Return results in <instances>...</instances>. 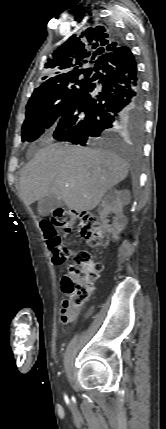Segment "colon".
I'll return each instance as SVG.
<instances>
[{"mask_svg": "<svg viewBox=\"0 0 166 429\" xmlns=\"http://www.w3.org/2000/svg\"><path fill=\"white\" fill-rule=\"evenodd\" d=\"M76 226L88 245L95 247L107 243L108 237L97 216L71 209H56L50 221L41 222L55 264H62L71 257V252L59 236L57 228L70 231ZM102 269V264L94 261L87 251H78L74 255V265L69 267L61 280L62 290L69 297L72 306L79 307L90 297L93 281L98 278Z\"/></svg>", "mask_w": 166, "mask_h": 429, "instance_id": "obj_1", "label": "colon"}]
</instances>
